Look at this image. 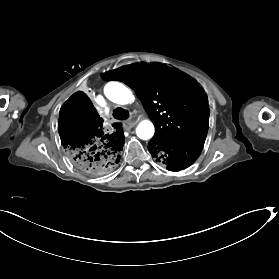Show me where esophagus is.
Returning a JSON list of instances; mask_svg holds the SVG:
<instances>
[{
	"label": "esophagus",
	"instance_id": "esophagus-1",
	"mask_svg": "<svg viewBox=\"0 0 279 279\" xmlns=\"http://www.w3.org/2000/svg\"><path fill=\"white\" fill-rule=\"evenodd\" d=\"M134 126V122L131 120H126L123 122V128L125 130H130Z\"/></svg>",
	"mask_w": 279,
	"mask_h": 279
}]
</instances>
